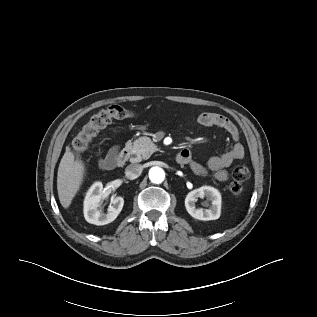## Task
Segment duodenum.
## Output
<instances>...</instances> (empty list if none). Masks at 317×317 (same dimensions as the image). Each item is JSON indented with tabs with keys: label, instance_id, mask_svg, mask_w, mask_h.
<instances>
[{
	"label": "duodenum",
	"instance_id": "410a0bca",
	"mask_svg": "<svg viewBox=\"0 0 317 317\" xmlns=\"http://www.w3.org/2000/svg\"><path fill=\"white\" fill-rule=\"evenodd\" d=\"M189 156L188 151L182 150L176 156V161L182 164ZM129 158V150L127 148H123L119 151V153L114 156L112 159L107 160L105 169L110 170L116 166H123Z\"/></svg>",
	"mask_w": 317,
	"mask_h": 317
}]
</instances>
